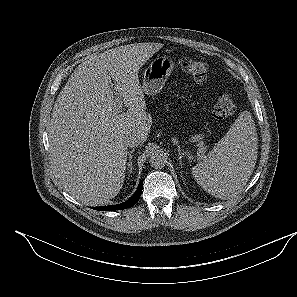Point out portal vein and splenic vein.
I'll use <instances>...</instances> for the list:
<instances>
[{"instance_id":"obj_1","label":"portal vein and splenic vein","mask_w":297,"mask_h":297,"mask_svg":"<svg viewBox=\"0 0 297 297\" xmlns=\"http://www.w3.org/2000/svg\"><path fill=\"white\" fill-rule=\"evenodd\" d=\"M114 109L117 112H121V109H122V101L118 96L115 97ZM197 146H198L197 155L202 159L205 158L204 153L206 151V146H204L203 143H199Z\"/></svg>"}]
</instances>
